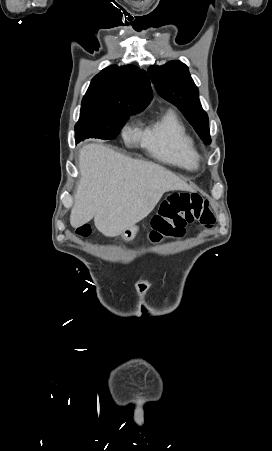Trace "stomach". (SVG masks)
Wrapping results in <instances>:
<instances>
[{
    "label": "stomach",
    "instance_id": "0dacf381",
    "mask_svg": "<svg viewBox=\"0 0 272 451\" xmlns=\"http://www.w3.org/2000/svg\"><path fill=\"white\" fill-rule=\"evenodd\" d=\"M139 231V226H136V224H134V226L132 227H127V229H124L122 235L124 237V239H127V241H129V239H134L135 235H137Z\"/></svg>",
    "mask_w": 272,
    "mask_h": 451
}]
</instances>
